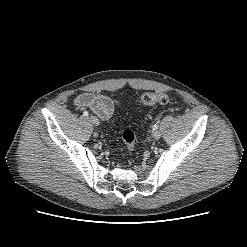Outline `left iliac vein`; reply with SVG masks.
<instances>
[{
	"label": "left iliac vein",
	"instance_id": "4c4485c4",
	"mask_svg": "<svg viewBox=\"0 0 247 247\" xmlns=\"http://www.w3.org/2000/svg\"><path fill=\"white\" fill-rule=\"evenodd\" d=\"M152 136H153V138H154L155 140H158V139H160V137H161V132H160L159 130H154V131L152 132Z\"/></svg>",
	"mask_w": 247,
	"mask_h": 247
}]
</instances>
